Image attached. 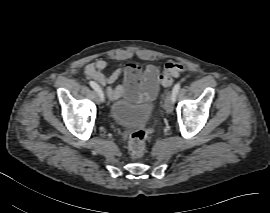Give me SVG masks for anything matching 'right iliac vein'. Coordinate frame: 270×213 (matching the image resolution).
Instances as JSON below:
<instances>
[{"mask_svg":"<svg viewBox=\"0 0 270 213\" xmlns=\"http://www.w3.org/2000/svg\"><path fill=\"white\" fill-rule=\"evenodd\" d=\"M94 100L99 104L101 102V98L99 97V95L97 93L93 94Z\"/></svg>","mask_w":270,"mask_h":213,"instance_id":"1","label":"right iliac vein"}]
</instances>
